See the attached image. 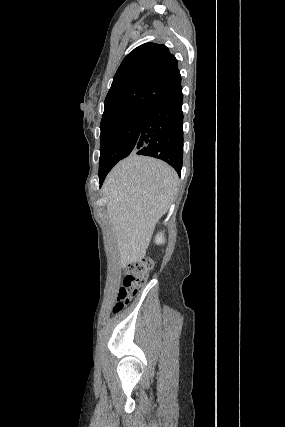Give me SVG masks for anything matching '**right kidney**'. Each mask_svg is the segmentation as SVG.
<instances>
[{
    "instance_id": "obj_1",
    "label": "right kidney",
    "mask_w": 285,
    "mask_h": 427,
    "mask_svg": "<svg viewBox=\"0 0 285 427\" xmlns=\"http://www.w3.org/2000/svg\"><path fill=\"white\" fill-rule=\"evenodd\" d=\"M155 242H156V244H162V243H164L165 242V239H164V234L161 232V233H158L157 235H156V237H155Z\"/></svg>"
}]
</instances>
